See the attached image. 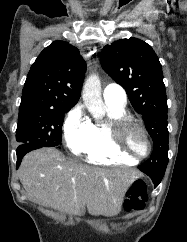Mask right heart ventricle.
<instances>
[{
	"mask_svg": "<svg viewBox=\"0 0 187 242\" xmlns=\"http://www.w3.org/2000/svg\"><path fill=\"white\" fill-rule=\"evenodd\" d=\"M109 120L126 116L125 107H110L107 106ZM95 138L92 145L86 150V161L94 165H134L136 162L130 158L117 153L109 139V134L106 124L94 125Z\"/></svg>",
	"mask_w": 187,
	"mask_h": 242,
	"instance_id": "obj_1",
	"label": "right heart ventricle"
}]
</instances>
